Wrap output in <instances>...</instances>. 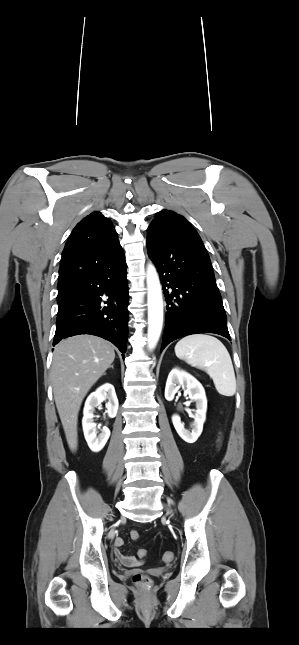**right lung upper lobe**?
<instances>
[{
    "instance_id": "1",
    "label": "right lung upper lobe",
    "mask_w": 299,
    "mask_h": 645,
    "mask_svg": "<svg viewBox=\"0 0 299 645\" xmlns=\"http://www.w3.org/2000/svg\"><path fill=\"white\" fill-rule=\"evenodd\" d=\"M124 257L111 221L95 211L79 222L62 252L58 291L71 287L84 276L108 267Z\"/></svg>"
}]
</instances>
